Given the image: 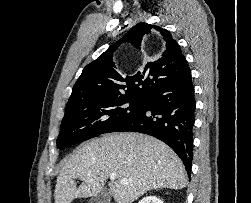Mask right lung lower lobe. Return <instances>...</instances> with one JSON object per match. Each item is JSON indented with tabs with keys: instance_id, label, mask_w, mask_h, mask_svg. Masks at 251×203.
Instances as JSON below:
<instances>
[{
	"instance_id": "98d812e1",
	"label": "right lung lower lobe",
	"mask_w": 251,
	"mask_h": 203,
	"mask_svg": "<svg viewBox=\"0 0 251 203\" xmlns=\"http://www.w3.org/2000/svg\"><path fill=\"white\" fill-rule=\"evenodd\" d=\"M195 109L194 87L188 68L178 78L149 92L142 108L113 132L133 131L158 138L177 153L190 176Z\"/></svg>"
}]
</instances>
